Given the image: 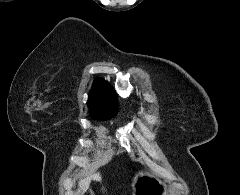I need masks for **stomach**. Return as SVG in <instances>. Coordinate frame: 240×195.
I'll list each match as a JSON object with an SVG mask.
<instances>
[{"instance_id":"1","label":"stomach","mask_w":240,"mask_h":195,"mask_svg":"<svg viewBox=\"0 0 240 195\" xmlns=\"http://www.w3.org/2000/svg\"><path fill=\"white\" fill-rule=\"evenodd\" d=\"M165 183L151 173L139 171L132 179V195H163Z\"/></svg>"}]
</instances>
